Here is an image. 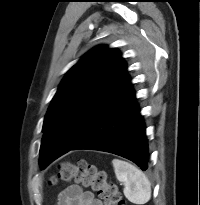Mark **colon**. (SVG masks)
I'll use <instances>...</instances> for the list:
<instances>
[{"mask_svg": "<svg viewBox=\"0 0 200 205\" xmlns=\"http://www.w3.org/2000/svg\"><path fill=\"white\" fill-rule=\"evenodd\" d=\"M60 182H75L90 188L105 205H125L117 186L108 181L106 172L86 160L81 159L76 163L62 162L51 179L52 184Z\"/></svg>", "mask_w": 200, "mask_h": 205, "instance_id": "1", "label": "colon"}]
</instances>
